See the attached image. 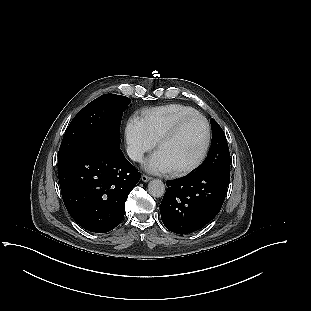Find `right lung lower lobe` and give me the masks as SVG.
<instances>
[{
    "label": "right lung lower lobe",
    "instance_id": "98d812e1",
    "mask_svg": "<svg viewBox=\"0 0 311 311\" xmlns=\"http://www.w3.org/2000/svg\"><path fill=\"white\" fill-rule=\"evenodd\" d=\"M140 172L119 147L89 146L59 162L62 198L84 229L105 233L120 224Z\"/></svg>",
    "mask_w": 311,
    "mask_h": 311
}]
</instances>
